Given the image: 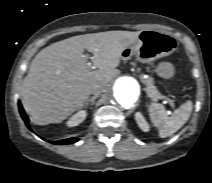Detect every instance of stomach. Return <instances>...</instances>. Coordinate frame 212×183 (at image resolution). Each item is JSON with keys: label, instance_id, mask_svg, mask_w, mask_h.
<instances>
[{"label": "stomach", "instance_id": "stomach-1", "mask_svg": "<svg viewBox=\"0 0 212 183\" xmlns=\"http://www.w3.org/2000/svg\"><path fill=\"white\" fill-rule=\"evenodd\" d=\"M178 42L171 34L158 30H143L137 40L122 53V59L131 56L142 63H149L172 54L177 50ZM155 72L162 78L170 79L175 74V67L170 62H160Z\"/></svg>", "mask_w": 212, "mask_h": 183}]
</instances>
